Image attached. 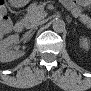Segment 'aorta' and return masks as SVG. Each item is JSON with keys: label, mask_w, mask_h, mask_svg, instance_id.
<instances>
[{"label": "aorta", "mask_w": 91, "mask_h": 91, "mask_svg": "<svg viewBox=\"0 0 91 91\" xmlns=\"http://www.w3.org/2000/svg\"><path fill=\"white\" fill-rule=\"evenodd\" d=\"M53 30L55 32H63L65 30V22L61 19L54 20Z\"/></svg>", "instance_id": "obj_1"}]
</instances>
